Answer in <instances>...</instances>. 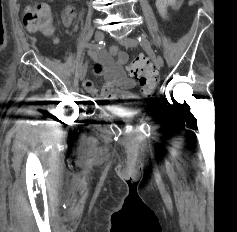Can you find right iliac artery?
<instances>
[{
	"mask_svg": "<svg viewBox=\"0 0 237 232\" xmlns=\"http://www.w3.org/2000/svg\"><path fill=\"white\" fill-rule=\"evenodd\" d=\"M79 46H87V47H90V48H92L94 50H100V49L104 48L105 42L104 41H100L96 45L81 43V44H79Z\"/></svg>",
	"mask_w": 237,
	"mask_h": 232,
	"instance_id": "82829eb1",
	"label": "right iliac artery"
}]
</instances>
